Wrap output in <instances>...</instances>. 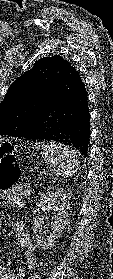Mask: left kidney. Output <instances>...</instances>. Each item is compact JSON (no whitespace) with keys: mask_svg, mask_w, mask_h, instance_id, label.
Returning <instances> with one entry per match:
<instances>
[{"mask_svg":"<svg viewBox=\"0 0 113 279\" xmlns=\"http://www.w3.org/2000/svg\"><path fill=\"white\" fill-rule=\"evenodd\" d=\"M71 190L60 188H49L37 203L33 213V231L38 247L48 249L54 245L61 231L65 228L70 209ZM52 210L54 222H51V231L44 230V212ZM47 234V235H46Z\"/></svg>","mask_w":113,"mask_h":279,"instance_id":"5707ae66","label":"left kidney"}]
</instances>
